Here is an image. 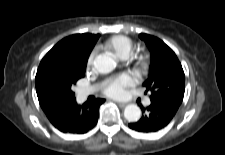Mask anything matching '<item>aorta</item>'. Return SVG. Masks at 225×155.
I'll return each instance as SVG.
<instances>
[{"label":"aorta","instance_id":"aorta-1","mask_svg":"<svg viewBox=\"0 0 225 155\" xmlns=\"http://www.w3.org/2000/svg\"><path fill=\"white\" fill-rule=\"evenodd\" d=\"M94 67L101 74L112 72L117 63L111 56L101 54L94 59ZM124 117L129 122H137L141 117V109L135 104H129L124 109Z\"/></svg>","mask_w":225,"mask_h":155}]
</instances>
